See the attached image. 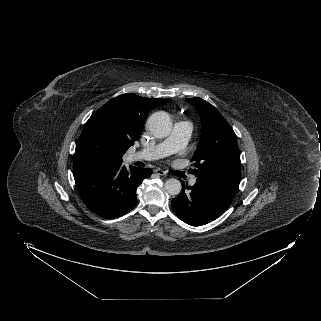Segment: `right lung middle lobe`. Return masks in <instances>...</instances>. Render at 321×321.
<instances>
[{"label":"right lung middle lobe","instance_id":"obj_1","mask_svg":"<svg viewBox=\"0 0 321 321\" xmlns=\"http://www.w3.org/2000/svg\"><path fill=\"white\" fill-rule=\"evenodd\" d=\"M122 156L118 143L102 126L84 127L76 144L73 173L120 164Z\"/></svg>","mask_w":321,"mask_h":321}]
</instances>
